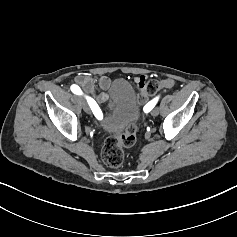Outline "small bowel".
<instances>
[{"instance_id":"small-bowel-1","label":"small bowel","mask_w":237,"mask_h":237,"mask_svg":"<svg viewBox=\"0 0 237 237\" xmlns=\"http://www.w3.org/2000/svg\"><path fill=\"white\" fill-rule=\"evenodd\" d=\"M147 79L148 77L145 75L135 78L139 95L143 101L147 99V96L144 94V87ZM74 81L77 86L79 85L87 94L92 97L99 109L102 104L108 101L109 97L105 92L111 86V79L108 76L100 75L97 77V79H94L90 75L80 74L75 77ZM160 84L161 87L171 88L175 85V81L173 79H164L160 82ZM97 86L102 90L101 92L97 91Z\"/></svg>"}]
</instances>
